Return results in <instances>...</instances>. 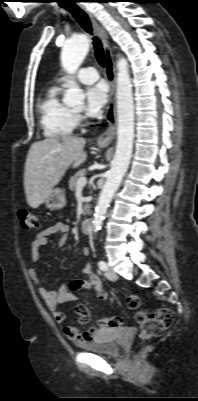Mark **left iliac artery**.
<instances>
[{
    "mask_svg": "<svg viewBox=\"0 0 198 401\" xmlns=\"http://www.w3.org/2000/svg\"><path fill=\"white\" fill-rule=\"evenodd\" d=\"M98 265L101 270H107V264L104 261H99Z\"/></svg>",
    "mask_w": 198,
    "mask_h": 401,
    "instance_id": "44dca946",
    "label": "left iliac artery"
}]
</instances>
